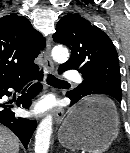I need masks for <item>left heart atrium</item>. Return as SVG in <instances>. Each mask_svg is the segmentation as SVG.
<instances>
[{"instance_id":"obj_1","label":"left heart atrium","mask_w":130,"mask_h":153,"mask_svg":"<svg viewBox=\"0 0 130 153\" xmlns=\"http://www.w3.org/2000/svg\"><path fill=\"white\" fill-rule=\"evenodd\" d=\"M51 106H52L51 100L45 98L35 104L33 112L39 115L45 112L46 110H48Z\"/></svg>"}]
</instances>
